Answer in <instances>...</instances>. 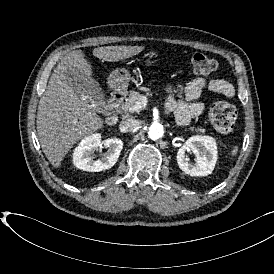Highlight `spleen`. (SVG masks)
Masks as SVG:
<instances>
[{"instance_id": "3e777b00", "label": "spleen", "mask_w": 274, "mask_h": 274, "mask_svg": "<svg viewBox=\"0 0 274 274\" xmlns=\"http://www.w3.org/2000/svg\"><path fill=\"white\" fill-rule=\"evenodd\" d=\"M237 152H238V147H237V146H234L233 150L231 151V154H232L233 156H235V155L237 154Z\"/></svg>"}]
</instances>
